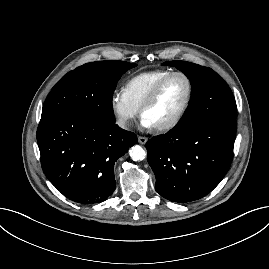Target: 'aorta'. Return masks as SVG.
Wrapping results in <instances>:
<instances>
[{
	"label": "aorta",
	"instance_id": "aorta-1",
	"mask_svg": "<svg viewBox=\"0 0 269 269\" xmlns=\"http://www.w3.org/2000/svg\"><path fill=\"white\" fill-rule=\"evenodd\" d=\"M129 155L133 161H141L146 157V151L139 145H134L130 151Z\"/></svg>",
	"mask_w": 269,
	"mask_h": 269
}]
</instances>
